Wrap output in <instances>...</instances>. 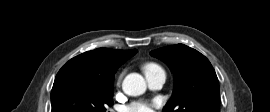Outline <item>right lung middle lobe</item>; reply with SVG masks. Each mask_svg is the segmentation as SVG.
Instances as JSON below:
<instances>
[{"label": "right lung middle lobe", "instance_id": "obj_1", "mask_svg": "<svg viewBox=\"0 0 270 112\" xmlns=\"http://www.w3.org/2000/svg\"><path fill=\"white\" fill-rule=\"evenodd\" d=\"M113 83L75 74L56 76L51 112H105L113 105Z\"/></svg>", "mask_w": 270, "mask_h": 112}]
</instances>
